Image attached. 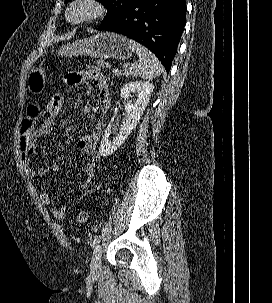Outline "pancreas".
<instances>
[{"label":"pancreas","mask_w":272,"mask_h":303,"mask_svg":"<svg viewBox=\"0 0 272 303\" xmlns=\"http://www.w3.org/2000/svg\"><path fill=\"white\" fill-rule=\"evenodd\" d=\"M113 73H114L115 75H117V76L121 75V71H119L118 69H114V70H113ZM123 75H124L125 77H130V76L132 75V72H131V70H129V69H124Z\"/></svg>","instance_id":"1"}]
</instances>
